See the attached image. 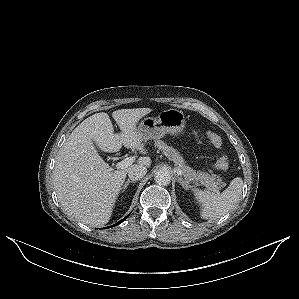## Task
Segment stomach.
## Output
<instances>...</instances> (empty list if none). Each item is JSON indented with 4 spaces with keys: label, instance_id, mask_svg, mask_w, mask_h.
<instances>
[{
    "label": "stomach",
    "instance_id": "obj_1",
    "mask_svg": "<svg viewBox=\"0 0 299 299\" xmlns=\"http://www.w3.org/2000/svg\"><path fill=\"white\" fill-rule=\"evenodd\" d=\"M185 127L184 113L177 109H167L161 111L157 117L144 118L138 126V131L143 140L160 139L165 134L179 135Z\"/></svg>",
    "mask_w": 299,
    "mask_h": 299
}]
</instances>
